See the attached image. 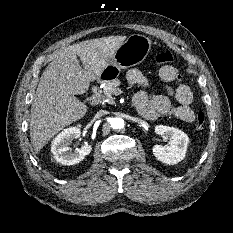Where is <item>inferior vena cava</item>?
<instances>
[{
    "mask_svg": "<svg viewBox=\"0 0 233 233\" xmlns=\"http://www.w3.org/2000/svg\"><path fill=\"white\" fill-rule=\"evenodd\" d=\"M104 113H105L104 110H100V111L97 113V116H102Z\"/></svg>",
    "mask_w": 233,
    "mask_h": 233,
    "instance_id": "1",
    "label": "inferior vena cava"
}]
</instances>
